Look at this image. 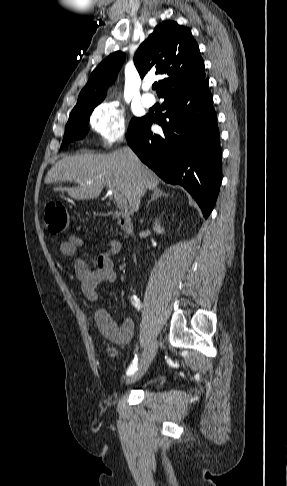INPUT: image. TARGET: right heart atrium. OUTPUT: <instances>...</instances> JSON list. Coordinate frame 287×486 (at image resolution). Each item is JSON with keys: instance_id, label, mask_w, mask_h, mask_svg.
<instances>
[{"instance_id": "1", "label": "right heart atrium", "mask_w": 287, "mask_h": 486, "mask_svg": "<svg viewBox=\"0 0 287 486\" xmlns=\"http://www.w3.org/2000/svg\"><path fill=\"white\" fill-rule=\"evenodd\" d=\"M89 126L103 145L111 146L124 136L127 118L117 104L103 103L92 111Z\"/></svg>"}]
</instances>
